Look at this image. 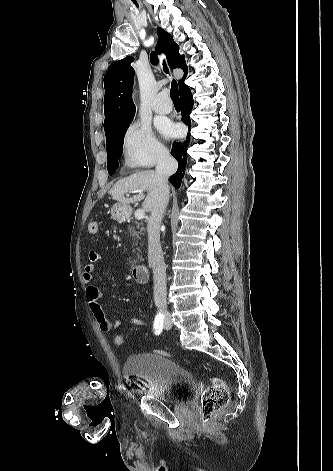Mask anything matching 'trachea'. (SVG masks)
Listing matches in <instances>:
<instances>
[{
	"label": "trachea",
	"instance_id": "3493384b",
	"mask_svg": "<svg viewBox=\"0 0 333 471\" xmlns=\"http://www.w3.org/2000/svg\"><path fill=\"white\" fill-rule=\"evenodd\" d=\"M164 71H165V73L169 72V70H168L165 63H164ZM170 97H171L173 102H180L178 84L175 80L172 81L171 90H170Z\"/></svg>",
	"mask_w": 333,
	"mask_h": 471
}]
</instances>
